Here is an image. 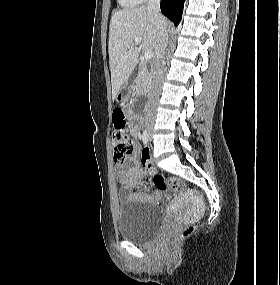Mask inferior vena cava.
<instances>
[{"label":"inferior vena cava","mask_w":280,"mask_h":285,"mask_svg":"<svg viewBox=\"0 0 280 285\" xmlns=\"http://www.w3.org/2000/svg\"><path fill=\"white\" fill-rule=\"evenodd\" d=\"M147 9L154 12L156 27L158 29V39L155 48V63L153 70V80L148 97V109L145 116V122L150 125L155 120L156 104L162 90V78L165 66V51L168 45V31L163 26V16L160 13V0H149Z\"/></svg>","instance_id":"602c4592"}]
</instances>
